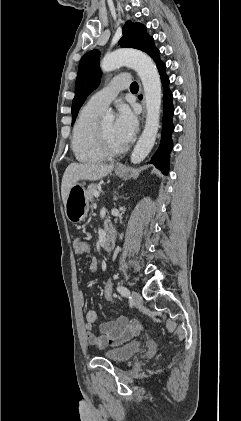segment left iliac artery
<instances>
[{
	"instance_id": "1",
	"label": "left iliac artery",
	"mask_w": 241,
	"mask_h": 421,
	"mask_svg": "<svg viewBox=\"0 0 241 421\" xmlns=\"http://www.w3.org/2000/svg\"><path fill=\"white\" fill-rule=\"evenodd\" d=\"M117 291L122 295V296H124V297H126V298H128L129 297V295H130V292H129V290L126 288V287H124V286H118L117 287Z\"/></svg>"
}]
</instances>
